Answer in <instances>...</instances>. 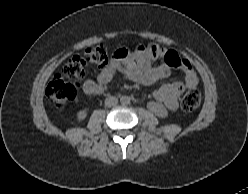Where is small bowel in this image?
I'll return each mask as SVG.
<instances>
[{
	"label": "small bowel",
	"mask_w": 248,
	"mask_h": 194,
	"mask_svg": "<svg viewBox=\"0 0 248 194\" xmlns=\"http://www.w3.org/2000/svg\"><path fill=\"white\" fill-rule=\"evenodd\" d=\"M165 50L152 46L149 50L141 48L130 51L119 48L111 61L100 71L96 80L88 79L83 83V91L88 95H97L104 92L111 83L114 75L120 73L125 79L142 85H152L168 77L172 66L166 62L152 66V60L163 58ZM176 67L184 74L182 82L164 84L154 92L156 103L163 104L169 110L178 108L179 98L188 88L198 85V77L191 64L185 58L177 55Z\"/></svg>",
	"instance_id": "c3829d8e"
}]
</instances>
